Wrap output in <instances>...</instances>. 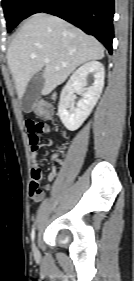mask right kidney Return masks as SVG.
<instances>
[{"instance_id": "ca27d5eb", "label": "right kidney", "mask_w": 134, "mask_h": 281, "mask_svg": "<svg viewBox=\"0 0 134 281\" xmlns=\"http://www.w3.org/2000/svg\"><path fill=\"white\" fill-rule=\"evenodd\" d=\"M89 74H93L94 83L86 88ZM104 76V66L98 61H89L72 74L62 89L58 106V115L68 130H77L90 115L102 93ZM76 92H83V98L74 108Z\"/></svg>"}]
</instances>
